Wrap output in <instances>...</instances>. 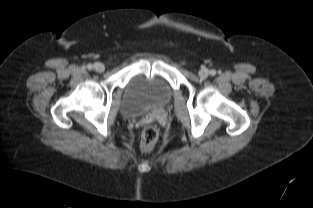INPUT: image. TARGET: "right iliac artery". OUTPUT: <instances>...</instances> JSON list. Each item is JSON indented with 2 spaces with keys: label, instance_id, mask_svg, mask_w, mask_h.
Here are the masks:
<instances>
[{
  "label": "right iliac artery",
  "instance_id": "right-iliac-artery-1",
  "mask_svg": "<svg viewBox=\"0 0 313 208\" xmlns=\"http://www.w3.org/2000/svg\"><path fill=\"white\" fill-rule=\"evenodd\" d=\"M92 67H93L92 64H88V65H87V69H88V70H91Z\"/></svg>",
  "mask_w": 313,
  "mask_h": 208
}]
</instances>
